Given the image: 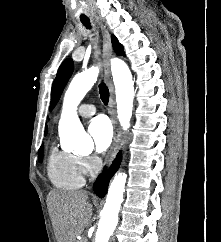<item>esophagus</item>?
Returning a JSON list of instances; mask_svg holds the SVG:
<instances>
[{"label": "esophagus", "mask_w": 221, "mask_h": 242, "mask_svg": "<svg viewBox=\"0 0 221 242\" xmlns=\"http://www.w3.org/2000/svg\"><path fill=\"white\" fill-rule=\"evenodd\" d=\"M96 22L98 23L102 36H103V56L105 59L104 64V74L105 78L109 87L110 92V99H109V115L111 118L112 126H113V141L111 144L110 152H109V163H111L114 158L116 157L121 143V131L118 126L117 117H116V111H115V95H114V86L112 83L111 73H110V64H109V58L111 57V39L110 34L107 29L103 27V24L99 21V19H96Z\"/></svg>", "instance_id": "esophagus-1"}]
</instances>
